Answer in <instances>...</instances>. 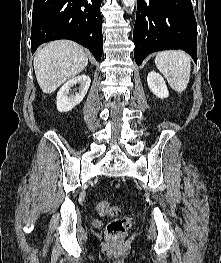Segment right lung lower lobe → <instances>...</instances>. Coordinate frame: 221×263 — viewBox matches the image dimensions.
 Masks as SVG:
<instances>
[{
	"mask_svg": "<svg viewBox=\"0 0 221 263\" xmlns=\"http://www.w3.org/2000/svg\"><path fill=\"white\" fill-rule=\"evenodd\" d=\"M101 0H34L32 54L56 39L73 40L88 48L97 61L103 53Z\"/></svg>",
	"mask_w": 221,
	"mask_h": 263,
	"instance_id": "right-lung-lower-lobe-1",
	"label": "right lung lower lobe"
}]
</instances>
